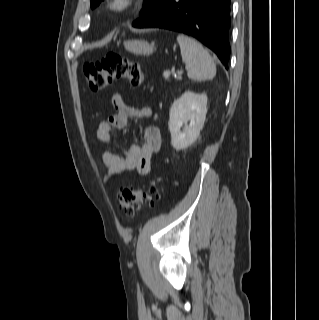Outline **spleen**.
I'll return each instance as SVG.
<instances>
[{
	"label": "spleen",
	"mask_w": 319,
	"mask_h": 320,
	"mask_svg": "<svg viewBox=\"0 0 319 320\" xmlns=\"http://www.w3.org/2000/svg\"><path fill=\"white\" fill-rule=\"evenodd\" d=\"M182 60L189 66L188 77L197 80H208L216 75V65L208 51L195 39L179 34Z\"/></svg>",
	"instance_id": "spleen-1"
}]
</instances>
